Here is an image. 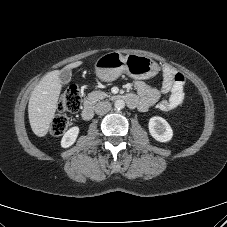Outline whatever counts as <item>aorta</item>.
I'll return each mask as SVG.
<instances>
[{
    "instance_id": "obj_1",
    "label": "aorta",
    "mask_w": 227,
    "mask_h": 227,
    "mask_svg": "<svg viewBox=\"0 0 227 227\" xmlns=\"http://www.w3.org/2000/svg\"><path fill=\"white\" fill-rule=\"evenodd\" d=\"M114 107L117 109V110H121L125 107V102L124 100L122 99H117L114 103Z\"/></svg>"
}]
</instances>
